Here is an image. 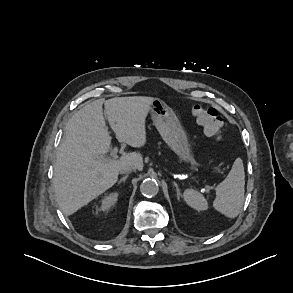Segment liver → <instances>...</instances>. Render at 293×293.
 <instances>
[{
  "mask_svg": "<svg viewBox=\"0 0 293 293\" xmlns=\"http://www.w3.org/2000/svg\"><path fill=\"white\" fill-rule=\"evenodd\" d=\"M153 100L143 96L95 100L69 119L65 141L57 149L53 178L56 201L64 215H72L111 188L123 165L143 170V157L137 152L125 153L118 160H99L111 145L102 105L117 140L139 148L146 143V117Z\"/></svg>",
  "mask_w": 293,
  "mask_h": 293,
  "instance_id": "1",
  "label": "liver"
}]
</instances>
